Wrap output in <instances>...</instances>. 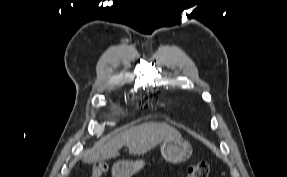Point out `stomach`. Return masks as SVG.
<instances>
[{
    "instance_id": "0dacf381",
    "label": "stomach",
    "mask_w": 287,
    "mask_h": 177,
    "mask_svg": "<svg viewBox=\"0 0 287 177\" xmlns=\"http://www.w3.org/2000/svg\"><path fill=\"white\" fill-rule=\"evenodd\" d=\"M192 146L182 138H174L163 141L161 154L170 163H181L188 160L192 155ZM142 160L118 161L112 167L113 177H131L144 167Z\"/></svg>"
}]
</instances>
